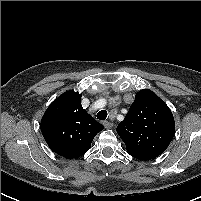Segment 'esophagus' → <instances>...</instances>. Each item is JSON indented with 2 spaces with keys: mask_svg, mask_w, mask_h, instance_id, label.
Wrapping results in <instances>:
<instances>
[{
  "mask_svg": "<svg viewBox=\"0 0 201 201\" xmlns=\"http://www.w3.org/2000/svg\"><path fill=\"white\" fill-rule=\"evenodd\" d=\"M103 125L106 129H110L113 127V123L110 121H103Z\"/></svg>",
  "mask_w": 201,
  "mask_h": 201,
  "instance_id": "34e87169",
  "label": "esophagus"
}]
</instances>
